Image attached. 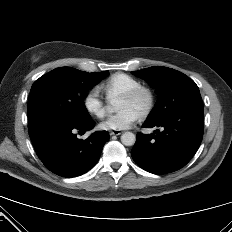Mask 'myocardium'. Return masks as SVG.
<instances>
[{
  "label": "myocardium",
  "mask_w": 232,
  "mask_h": 232,
  "mask_svg": "<svg viewBox=\"0 0 232 232\" xmlns=\"http://www.w3.org/2000/svg\"><path fill=\"white\" fill-rule=\"evenodd\" d=\"M142 96L146 97V104L140 112V116L144 118L147 117L152 112L155 106V94L150 87L141 85L124 93L123 95L120 96V98L129 101H135Z\"/></svg>",
  "instance_id": "obj_1"
}]
</instances>
